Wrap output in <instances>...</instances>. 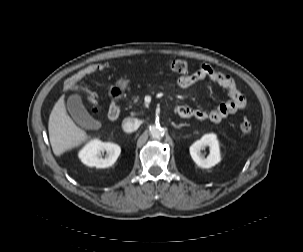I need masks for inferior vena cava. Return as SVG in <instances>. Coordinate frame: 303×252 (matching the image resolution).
Listing matches in <instances>:
<instances>
[{"mask_svg":"<svg viewBox=\"0 0 303 252\" xmlns=\"http://www.w3.org/2000/svg\"><path fill=\"white\" fill-rule=\"evenodd\" d=\"M140 123L138 119L127 117L122 122V128L126 133L134 132L138 129Z\"/></svg>","mask_w":303,"mask_h":252,"instance_id":"inferior-vena-cava-1","label":"inferior vena cava"}]
</instances>
